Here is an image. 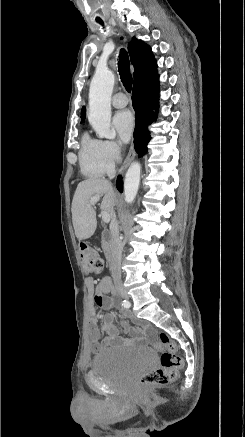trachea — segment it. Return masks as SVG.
Here are the masks:
<instances>
[{"mask_svg":"<svg viewBox=\"0 0 245 437\" xmlns=\"http://www.w3.org/2000/svg\"><path fill=\"white\" fill-rule=\"evenodd\" d=\"M100 23L103 25L101 21ZM118 69H119L120 79L127 92L130 93L132 90L133 79L130 73V62H129L128 53L125 49L120 50Z\"/></svg>","mask_w":245,"mask_h":437,"instance_id":"obj_1","label":"trachea"}]
</instances>
